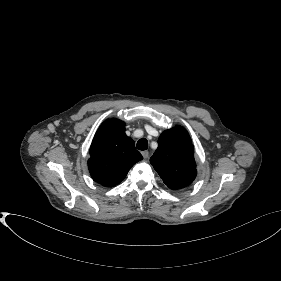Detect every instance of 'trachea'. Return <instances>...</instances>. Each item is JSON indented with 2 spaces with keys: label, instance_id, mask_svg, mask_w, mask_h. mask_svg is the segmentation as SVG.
Returning a JSON list of instances; mask_svg holds the SVG:
<instances>
[{
  "label": "trachea",
  "instance_id": "trachea-1",
  "mask_svg": "<svg viewBox=\"0 0 281 281\" xmlns=\"http://www.w3.org/2000/svg\"><path fill=\"white\" fill-rule=\"evenodd\" d=\"M138 150H146L148 148V141L145 138L140 139L136 145Z\"/></svg>",
  "mask_w": 281,
  "mask_h": 281
}]
</instances>
